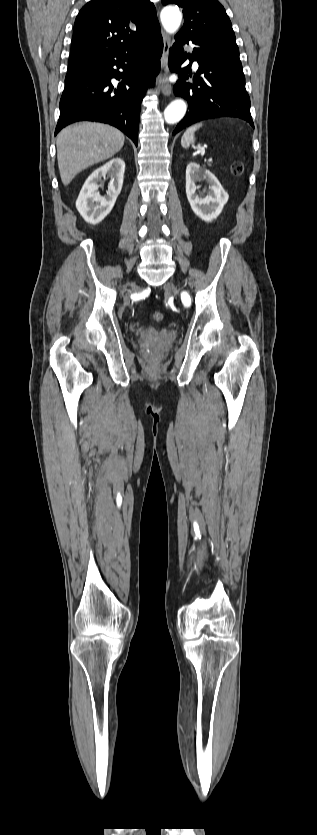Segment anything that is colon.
Masks as SVG:
<instances>
[{
  "label": "colon",
  "instance_id": "5ec220e1",
  "mask_svg": "<svg viewBox=\"0 0 317 835\" xmlns=\"http://www.w3.org/2000/svg\"><path fill=\"white\" fill-rule=\"evenodd\" d=\"M232 174L239 177L244 173V164L241 161L235 162L231 167ZM163 314L159 311H154L150 314L152 322L158 323L162 320Z\"/></svg>",
  "mask_w": 317,
  "mask_h": 835
}]
</instances>
